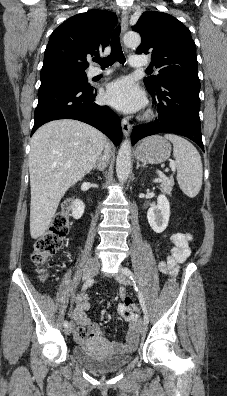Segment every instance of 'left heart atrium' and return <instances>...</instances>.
<instances>
[{
	"mask_svg": "<svg viewBox=\"0 0 227 396\" xmlns=\"http://www.w3.org/2000/svg\"><path fill=\"white\" fill-rule=\"evenodd\" d=\"M104 100L107 104L126 113L135 112L145 104L143 92L129 78H120L110 83L106 89Z\"/></svg>",
	"mask_w": 227,
	"mask_h": 396,
	"instance_id": "left-heart-atrium-1",
	"label": "left heart atrium"
}]
</instances>
